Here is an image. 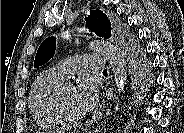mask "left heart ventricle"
<instances>
[{"instance_id":"obj_1","label":"left heart ventricle","mask_w":184,"mask_h":133,"mask_svg":"<svg viewBox=\"0 0 184 133\" xmlns=\"http://www.w3.org/2000/svg\"><path fill=\"white\" fill-rule=\"evenodd\" d=\"M62 103L65 112L69 116L73 117H80L85 115V110L80 105L77 97H76V90L73 86H68L65 88L62 96Z\"/></svg>"}]
</instances>
